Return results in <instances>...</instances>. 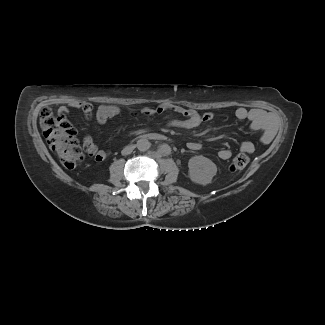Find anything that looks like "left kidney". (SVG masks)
Listing matches in <instances>:
<instances>
[{
  "label": "left kidney",
  "mask_w": 325,
  "mask_h": 325,
  "mask_svg": "<svg viewBox=\"0 0 325 325\" xmlns=\"http://www.w3.org/2000/svg\"><path fill=\"white\" fill-rule=\"evenodd\" d=\"M188 167L190 179L200 185L210 184L217 173L215 163L202 155L191 157Z\"/></svg>",
  "instance_id": "1"
}]
</instances>
